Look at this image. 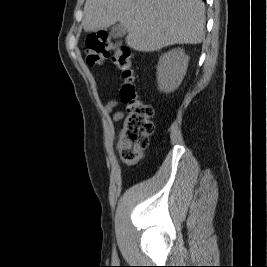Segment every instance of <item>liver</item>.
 I'll return each mask as SVG.
<instances>
[{"instance_id": "6515ba94", "label": "liver", "mask_w": 267, "mask_h": 267, "mask_svg": "<svg viewBox=\"0 0 267 267\" xmlns=\"http://www.w3.org/2000/svg\"><path fill=\"white\" fill-rule=\"evenodd\" d=\"M85 32L105 30L116 22L127 29L126 44L153 52L174 44H199L205 37L201 0H86Z\"/></svg>"}]
</instances>
